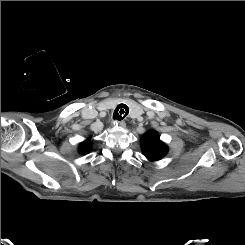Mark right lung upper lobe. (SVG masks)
<instances>
[{
  "label": "right lung upper lobe",
  "instance_id": "cb5924a9",
  "mask_svg": "<svg viewBox=\"0 0 245 245\" xmlns=\"http://www.w3.org/2000/svg\"><path fill=\"white\" fill-rule=\"evenodd\" d=\"M79 150H80L81 153H85L88 150H90V140L87 139L86 141L82 142L80 144Z\"/></svg>",
  "mask_w": 245,
  "mask_h": 245
}]
</instances>
